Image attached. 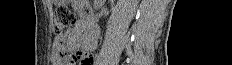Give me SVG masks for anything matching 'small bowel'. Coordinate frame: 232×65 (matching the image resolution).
Listing matches in <instances>:
<instances>
[{"label": "small bowel", "mask_w": 232, "mask_h": 65, "mask_svg": "<svg viewBox=\"0 0 232 65\" xmlns=\"http://www.w3.org/2000/svg\"><path fill=\"white\" fill-rule=\"evenodd\" d=\"M66 47L69 50H75L79 47L87 51H93L96 48V38H90L81 22H78L67 34L65 38Z\"/></svg>", "instance_id": "small-bowel-1"}]
</instances>
